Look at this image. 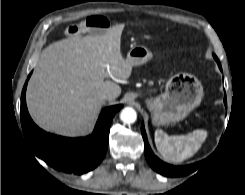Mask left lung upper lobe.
Here are the masks:
<instances>
[{
	"label": "left lung upper lobe",
	"instance_id": "left-lung-upper-lobe-1",
	"mask_svg": "<svg viewBox=\"0 0 245 195\" xmlns=\"http://www.w3.org/2000/svg\"><path fill=\"white\" fill-rule=\"evenodd\" d=\"M214 58H215V60L217 61V63L219 62V60H218V58L214 55Z\"/></svg>",
	"mask_w": 245,
	"mask_h": 195
}]
</instances>
